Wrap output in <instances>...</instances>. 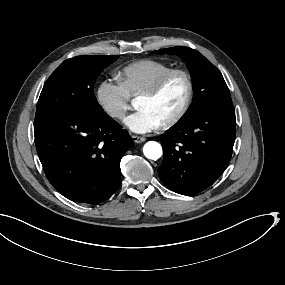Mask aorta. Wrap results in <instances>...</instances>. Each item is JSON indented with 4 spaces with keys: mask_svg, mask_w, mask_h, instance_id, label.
Returning a JSON list of instances; mask_svg holds the SVG:
<instances>
[{
    "mask_svg": "<svg viewBox=\"0 0 285 285\" xmlns=\"http://www.w3.org/2000/svg\"><path fill=\"white\" fill-rule=\"evenodd\" d=\"M143 153L146 158L157 160L162 156V147L158 142L149 141L144 145Z\"/></svg>",
    "mask_w": 285,
    "mask_h": 285,
    "instance_id": "aorta-1",
    "label": "aorta"
}]
</instances>
